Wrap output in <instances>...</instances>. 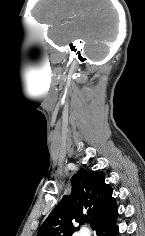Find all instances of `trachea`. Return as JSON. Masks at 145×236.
<instances>
[{
  "mask_svg": "<svg viewBox=\"0 0 145 236\" xmlns=\"http://www.w3.org/2000/svg\"><path fill=\"white\" fill-rule=\"evenodd\" d=\"M86 223H90V219H86Z\"/></svg>",
  "mask_w": 145,
  "mask_h": 236,
  "instance_id": "trachea-1",
  "label": "trachea"
}]
</instances>
